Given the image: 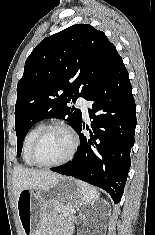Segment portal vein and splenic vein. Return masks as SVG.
<instances>
[{"label": "portal vein and splenic vein", "instance_id": "portal-vein-and-splenic-vein-1", "mask_svg": "<svg viewBox=\"0 0 155 235\" xmlns=\"http://www.w3.org/2000/svg\"><path fill=\"white\" fill-rule=\"evenodd\" d=\"M71 213H72V214H75V213H76V211H75L74 209H72V210H71Z\"/></svg>", "mask_w": 155, "mask_h": 235}]
</instances>
